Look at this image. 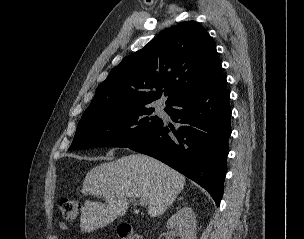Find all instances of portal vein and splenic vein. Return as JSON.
<instances>
[{"mask_svg": "<svg viewBox=\"0 0 304 239\" xmlns=\"http://www.w3.org/2000/svg\"><path fill=\"white\" fill-rule=\"evenodd\" d=\"M134 201L136 202V200ZM137 202H139L141 206H146L148 204V201L145 198H140Z\"/></svg>", "mask_w": 304, "mask_h": 239, "instance_id": "18ae733b", "label": "portal vein and splenic vein"}]
</instances>
